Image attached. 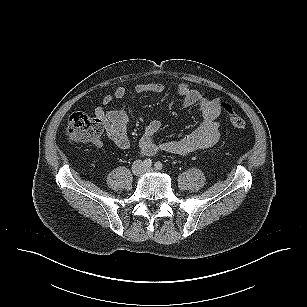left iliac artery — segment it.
I'll list each match as a JSON object with an SVG mask.
<instances>
[{"label": "left iliac artery", "instance_id": "obj_1", "mask_svg": "<svg viewBox=\"0 0 307 307\" xmlns=\"http://www.w3.org/2000/svg\"><path fill=\"white\" fill-rule=\"evenodd\" d=\"M156 170H161L163 168V164L158 161L154 164Z\"/></svg>", "mask_w": 307, "mask_h": 307}]
</instances>
